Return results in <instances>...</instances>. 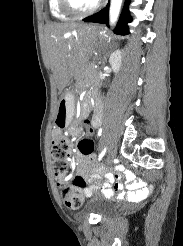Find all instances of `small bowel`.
I'll list each match as a JSON object with an SVG mask.
<instances>
[{"mask_svg":"<svg viewBox=\"0 0 183 246\" xmlns=\"http://www.w3.org/2000/svg\"><path fill=\"white\" fill-rule=\"evenodd\" d=\"M70 133L74 136L77 135L76 128L72 127ZM74 162L77 165L78 175L83 177L86 181L99 182L101 180V175L95 171V157H84L82 152H78V148L74 150ZM125 165H116L115 169H111V173L105 174V178L108 182H105V186H102L103 193L108 198H119L127 200H140L143 198H149V190L143 186V181L135 180V174H130L131 170L127 169V174H122V170H125ZM115 179H126L125 188L122 182H111ZM142 180L146 179L145 175L141 176ZM94 186H90L83 190L86 196H91L94 190ZM127 189L129 190L128 193Z\"/></svg>","mask_w":183,"mask_h":246,"instance_id":"1","label":"small bowel"}]
</instances>
